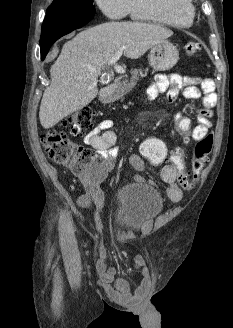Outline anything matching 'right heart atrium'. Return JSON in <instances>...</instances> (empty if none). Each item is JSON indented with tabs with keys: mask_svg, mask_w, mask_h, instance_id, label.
Returning a JSON list of instances; mask_svg holds the SVG:
<instances>
[{
	"mask_svg": "<svg viewBox=\"0 0 233 328\" xmlns=\"http://www.w3.org/2000/svg\"><path fill=\"white\" fill-rule=\"evenodd\" d=\"M99 9L110 19H121L128 14L129 0H95Z\"/></svg>",
	"mask_w": 233,
	"mask_h": 328,
	"instance_id": "1",
	"label": "right heart atrium"
}]
</instances>
